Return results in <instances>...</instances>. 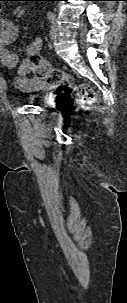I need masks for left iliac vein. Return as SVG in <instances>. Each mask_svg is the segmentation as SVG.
Instances as JSON below:
<instances>
[{"mask_svg":"<svg viewBox=\"0 0 127 303\" xmlns=\"http://www.w3.org/2000/svg\"><path fill=\"white\" fill-rule=\"evenodd\" d=\"M50 36L52 39L56 38V36H57V24L55 21L52 23V26L50 29Z\"/></svg>","mask_w":127,"mask_h":303,"instance_id":"4c4485c4","label":"left iliac vein"}]
</instances>
